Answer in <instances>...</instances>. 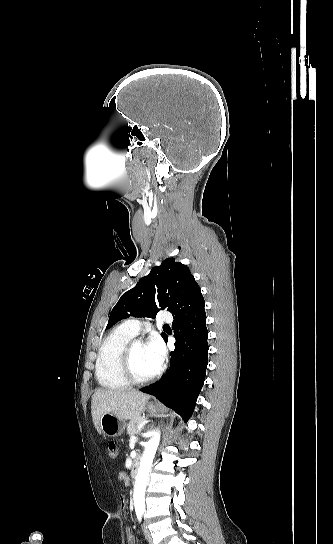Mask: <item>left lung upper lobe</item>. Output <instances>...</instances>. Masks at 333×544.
Masks as SVG:
<instances>
[{"mask_svg": "<svg viewBox=\"0 0 333 544\" xmlns=\"http://www.w3.org/2000/svg\"><path fill=\"white\" fill-rule=\"evenodd\" d=\"M200 296V287L189 268L174 258L165 259L120 297L111 311L106 329L127 317L155 318L164 309L174 314ZM161 336L164 339L167 335L161 333Z\"/></svg>", "mask_w": 333, "mask_h": 544, "instance_id": "obj_1", "label": "left lung upper lobe"}]
</instances>
